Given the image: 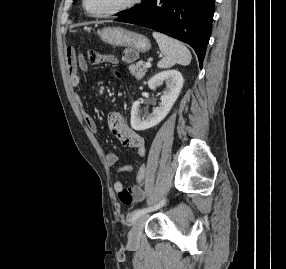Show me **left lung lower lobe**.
<instances>
[{
	"label": "left lung lower lobe",
	"instance_id": "0a47b994",
	"mask_svg": "<svg viewBox=\"0 0 286 269\" xmlns=\"http://www.w3.org/2000/svg\"><path fill=\"white\" fill-rule=\"evenodd\" d=\"M214 3L215 0H149L143 8L117 20L186 42L194 48L202 68L212 30Z\"/></svg>",
	"mask_w": 286,
	"mask_h": 269
}]
</instances>
